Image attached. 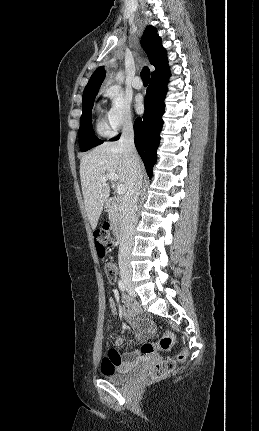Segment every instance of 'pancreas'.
<instances>
[{
  "label": "pancreas",
  "instance_id": "obj_1",
  "mask_svg": "<svg viewBox=\"0 0 259 431\" xmlns=\"http://www.w3.org/2000/svg\"><path fill=\"white\" fill-rule=\"evenodd\" d=\"M123 212L121 206L119 204H114L109 209V219L111 223L114 225L116 233L119 231L122 224Z\"/></svg>",
  "mask_w": 259,
  "mask_h": 431
}]
</instances>
